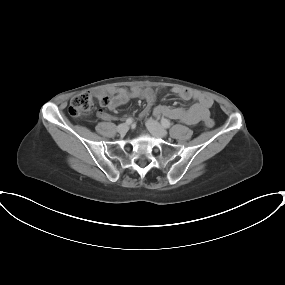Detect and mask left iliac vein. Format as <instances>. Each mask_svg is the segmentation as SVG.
<instances>
[{"mask_svg":"<svg viewBox=\"0 0 285 285\" xmlns=\"http://www.w3.org/2000/svg\"><path fill=\"white\" fill-rule=\"evenodd\" d=\"M146 126L150 133H152L156 137L164 138L167 136V131L159 124L157 121L149 118L146 121Z\"/></svg>","mask_w":285,"mask_h":285,"instance_id":"obj_1","label":"left iliac vein"}]
</instances>
